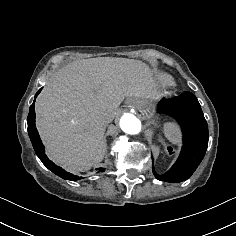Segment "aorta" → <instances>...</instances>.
<instances>
[{
	"mask_svg": "<svg viewBox=\"0 0 236 236\" xmlns=\"http://www.w3.org/2000/svg\"><path fill=\"white\" fill-rule=\"evenodd\" d=\"M119 125L123 132L130 135H136L141 131L140 120L131 113H125L121 117Z\"/></svg>",
	"mask_w": 236,
	"mask_h": 236,
	"instance_id": "762f6f07",
	"label": "aorta"
}]
</instances>
